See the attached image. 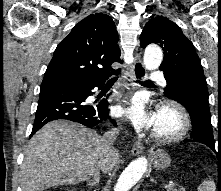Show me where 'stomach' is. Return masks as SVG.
I'll return each mask as SVG.
<instances>
[{
  "mask_svg": "<svg viewBox=\"0 0 221 191\" xmlns=\"http://www.w3.org/2000/svg\"><path fill=\"white\" fill-rule=\"evenodd\" d=\"M152 163L157 170H164L170 166L171 158L164 150H157L152 158Z\"/></svg>",
  "mask_w": 221,
  "mask_h": 191,
  "instance_id": "stomach-1",
  "label": "stomach"
}]
</instances>
